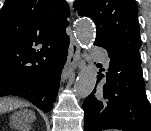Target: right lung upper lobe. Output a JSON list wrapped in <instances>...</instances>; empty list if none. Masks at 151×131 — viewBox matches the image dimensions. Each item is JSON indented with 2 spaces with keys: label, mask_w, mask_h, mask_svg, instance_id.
Segmentation results:
<instances>
[{
  "label": "right lung upper lobe",
  "mask_w": 151,
  "mask_h": 131,
  "mask_svg": "<svg viewBox=\"0 0 151 131\" xmlns=\"http://www.w3.org/2000/svg\"><path fill=\"white\" fill-rule=\"evenodd\" d=\"M65 0H6L0 11V94L31 76L69 38Z\"/></svg>",
  "instance_id": "obj_1"
}]
</instances>
